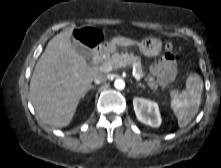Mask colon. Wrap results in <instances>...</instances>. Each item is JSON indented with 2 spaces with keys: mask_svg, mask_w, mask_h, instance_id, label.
I'll return each instance as SVG.
<instances>
[{
  "mask_svg": "<svg viewBox=\"0 0 221 168\" xmlns=\"http://www.w3.org/2000/svg\"><path fill=\"white\" fill-rule=\"evenodd\" d=\"M101 37V32L97 29H83L77 32L76 38L87 45H93L96 43ZM165 49L168 53H171L173 49V45L171 42L165 43ZM181 94V89L180 88H173V91L169 94V97L172 100H175L179 95Z\"/></svg>",
  "mask_w": 221,
  "mask_h": 168,
  "instance_id": "obj_1",
  "label": "colon"
}]
</instances>
